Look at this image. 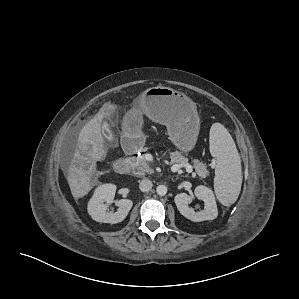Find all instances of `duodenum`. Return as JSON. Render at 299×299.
Segmentation results:
<instances>
[{
    "label": "duodenum",
    "mask_w": 299,
    "mask_h": 299,
    "mask_svg": "<svg viewBox=\"0 0 299 299\" xmlns=\"http://www.w3.org/2000/svg\"><path fill=\"white\" fill-rule=\"evenodd\" d=\"M123 146H124L125 152L128 156L134 155L137 151L135 139L132 137H126L123 142ZM114 169H115L116 173H118L120 175L126 174L129 169L128 159L125 158V159H121V160L117 161L115 163Z\"/></svg>",
    "instance_id": "410a0bca"
}]
</instances>
